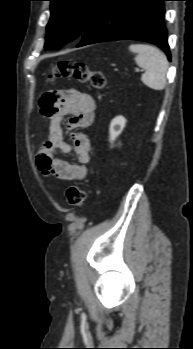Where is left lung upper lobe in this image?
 <instances>
[{
    "instance_id": "left-lung-upper-lobe-1",
    "label": "left lung upper lobe",
    "mask_w": 193,
    "mask_h": 349,
    "mask_svg": "<svg viewBox=\"0 0 193 349\" xmlns=\"http://www.w3.org/2000/svg\"><path fill=\"white\" fill-rule=\"evenodd\" d=\"M51 17L45 47H61L82 35L108 0H48Z\"/></svg>"
}]
</instances>
